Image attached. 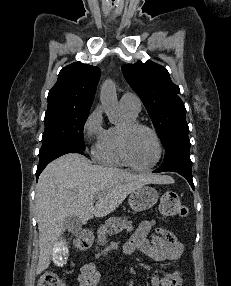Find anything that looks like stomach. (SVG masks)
Segmentation results:
<instances>
[{
  "label": "stomach",
  "instance_id": "0dacf381",
  "mask_svg": "<svg viewBox=\"0 0 231 286\" xmlns=\"http://www.w3.org/2000/svg\"><path fill=\"white\" fill-rule=\"evenodd\" d=\"M158 192L147 185L141 186L130 193L129 205L135 212L145 211L153 207L158 201Z\"/></svg>",
  "mask_w": 231,
  "mask_h": 286
}]
</instances>
